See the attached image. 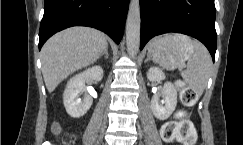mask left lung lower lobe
Wrapping results in <instances>:
<instances>
[{
    "label": "left lung lower lobe",
    "instance_id": "1",
    "mask_svg": "<svg viewBox=\"0 0 243 145\" xmlns=\"http://www.w3.org/2000/svg\"><path fill=\"white\" fill-rule=\"evenodd\" d=\"M141 42L168 32L195 37L215 60L217 35L214 0H140Z\"/></svg>",
    "mask_w": 243,
    "mask_h": 145
}]
</instances>
